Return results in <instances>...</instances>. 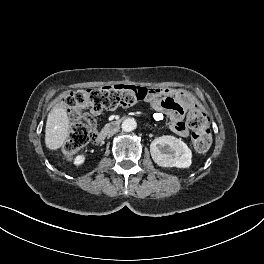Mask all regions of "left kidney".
<instances>
[{
	"label": "left kidney",
	"instance_id": "5707ae66",
	"mask_svg": "<svg viewBox=\"0 0 264 264\" xmlns=\"http://www.w3.org/2000/svg\"><path fill=\"white\" fill-rule=\"evenodd\" d=\"M152 159L161 167L188 168L192 163V152L188 146L174 136H161L150 145Z\"/></svg>",
	"mask_w": 264,
	"mask_h": 264
}]
</instances>
